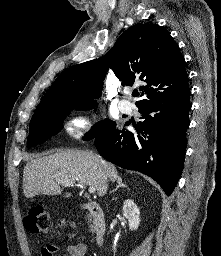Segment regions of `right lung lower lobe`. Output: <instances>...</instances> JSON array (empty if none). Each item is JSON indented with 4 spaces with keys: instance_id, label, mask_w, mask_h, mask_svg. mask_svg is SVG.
<instances>
[{
    "instance_id": "right-lung-lower-lobe-1",
    "label": "right lung lower lobe",
    "mask_w": 221,
    "mask_h": 256,
    "mask_svg": "<svg viewBox=\"0 0 221 256\" xmlns=\"http://www.w3.org/2000/svg\"><path fill=\"white\" fill-rule=\"evenodd\" d=\"M190 91L141 104L137 134L116 129L97 136L95 146L106 160L154 179L170 195L181 175L186 150Z\"/></svg>"
}]
</instances>
